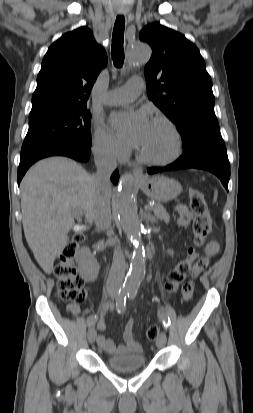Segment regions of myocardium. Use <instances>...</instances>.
I'll use <instances>...</instances> for the list:
<instances>
[{"instance_id":"1","label":"myocardium","mask_w":253,"mask_h":413,"mask_svg":"<svg viewBox=\"0 0 253 413\" xmlns=\"http://www.w3.org/2000/svg\"><path fill=\"white\" fill-rule=\"evenodd\" d=\"M153 122L163 124L164 126L168 128L169 132L172 135L173 142H174L173 151L169 156L165 158H152L146 155L145 153H143L141 150H138L137 156L142 162L149 164V165H153V166L169 165L173 163L174 161H176L182 153L183 141H182L181 134L178 128L176 127V125L169 118L165 116H157L153 119Z\"/></svg>"}]
</instances>
